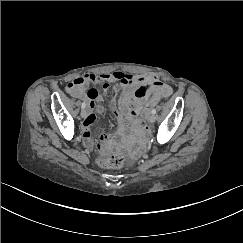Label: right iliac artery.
Returning a JSON list of instances; mask_svg holds the SVG:
<instances>
[{
  "mask_svg": "<svg viewBox=\"0 0 243 243\" xmlns=\"http://www.w3.org/2000/svg\"><path fill=\"white\" fill-rule=\"evenodd\" d=\"M85 106H86L85 103H82L81 108L84 109Z\"/></svg>",
  "mask_w": 243,
  "mask_h": 243,
  "instance_id": "obj_1",
  "label": "right iliac artery"
}]
</instances>
